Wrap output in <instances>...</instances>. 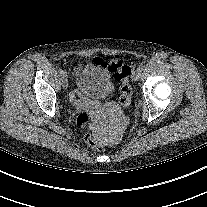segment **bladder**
<instances>
[{"label": "bladder", "mask_w": 207, "mask_h": 207, "mask_svg": "<svg viewBox=\"0 0 207 207\" xmlns=\"http://www.w3.org/2000/svg\"><path fill=\"white\" fill-rule=\"evenodd\" d=\"M75 84L84 95L100 98L108 95L112 81L106 68L98 62H90L78 73Z\"/></svg>", "instance_id": "31cf9c89"}]
</instances>
